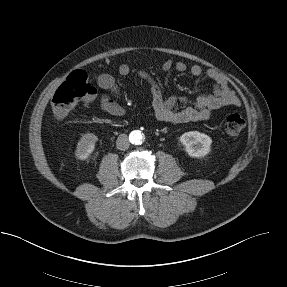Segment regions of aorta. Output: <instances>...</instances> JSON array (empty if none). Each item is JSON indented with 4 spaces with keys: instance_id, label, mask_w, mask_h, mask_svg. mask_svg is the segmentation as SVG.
Wrapping results in <instances>:
<instances>
[{
    "instance_id": "aorta-1",
    "label": "aorta",
    "mask_w": 287,
    "mask_h": 287,
    "mask_svg": "<svg viewBox=\"0 0 287 287\" xmlns=\"http://www.w3.org/2000/svg\"><path fill=\"white\" fill-rule=\"evenodd\" d=\"M129 138L133 144H140L143 141V134L141 131L135 130L130 133Z\"/></svg>"
}]
</instances>
